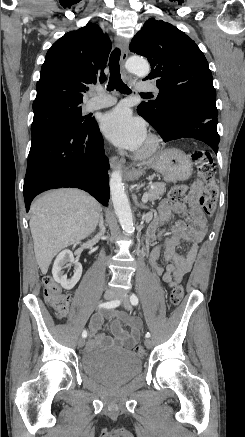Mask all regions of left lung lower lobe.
Returning <instances> with one entry per match:
<instances>
[{"mask_svg":"<svg viewBox=\"0 0 245 437\" xmlns=\"http://www.w3.org/2000/svg\"><path fill=\"white\" fill-rule=\"evenodd\" d=\"M140 114V113H139ZM160 134L164 142L193 138L218 152L217 113L192 102H178L168 107L159 124L140 114Z\"/></svg>","mask_w":245,"mask_h":437,"instance_id":"left-lung-lower-lobe-1","label":"left lung lower lobe"}]
</instances>
